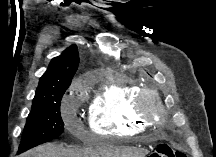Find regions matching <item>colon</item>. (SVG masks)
I'll list each match as a JSON object with an SVG mask.
<instances>
[{
    "label": "colon",
    "mask_w": 216,
    "mask_h": 157,
    "mask_svg": "<svg viewBox=\"0 0 216 157\" xmlns=\"http://www.w3.org/2000/svg\"><path fill=\"white\" fill-rule=\"evenodd\" d=\"M149 157H187L182 151L175 150L166 144L157 146Z\"/></svg>",
    "instance_id": "5ec220e1"
}]
</instances>
